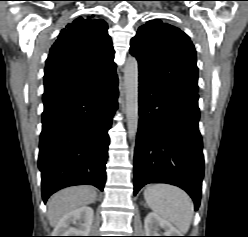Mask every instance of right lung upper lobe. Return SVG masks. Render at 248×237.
I'll list each match as a JSON object with an SVG mask.
<instances>
[{
  "instance_id": "cb5924a9",
  "label": "right lung upper lobe",
  "mask_w": 248,
  "mask_h": 237,
  "mask_svg": "<svg viewBox=\"0 0 248 237\" xmlns=\"http://www.w3.org/2000/svg\"><path fill=\"white\" fill-rule=\"evenodd\" d=\"M93 17H79L61 30L46 60L44 93L87 83L115 70L108 26Z\"/></svg>"
}]
</instances>
